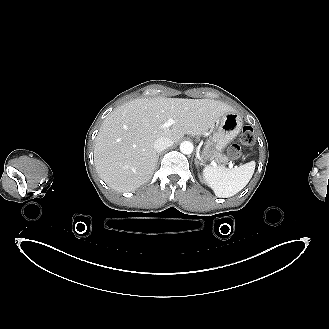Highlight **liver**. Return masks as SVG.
Instances as JSON below:
<instances>
[{
	"label": "liver",
	"instance_id": "obj_1",
	"mask_svg": "<svg viewBox=\"0 0 329 329\" xmlns=\"http://www.w3.org/2000/svg\"><path fill=\"white\" fill-rule=\"evenodd\" d=\"M231 106L211 99L141 98L129 101L103 121L96 137L94 161L98 175L112 189L130 192L147 183L157 165L154 142L179 141L185 134L202 135ZM172 118L171 128L160 125Z\"/></svg>",
	"mask_w": 329,
	"mask_h": 329
}]
</instances>
